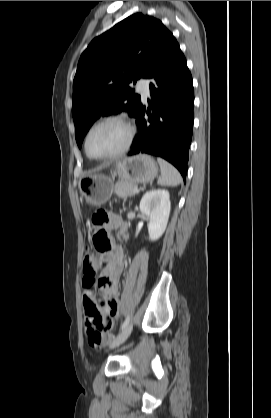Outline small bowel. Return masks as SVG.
<instances>
[{"label":"small bowel","mask_w":271,"mask_h":418,"mask_svg":"<svg viewBox=\"0 0 271 418\" xmlns=\"http://www.w3.org/2000/svg\"><path fill=\"white\" fill-rule=\"evenodd\" d=\"M106 223L113 228L125 229L123 221L114 215H106ZM102 263H105V267L101 272L100 277L97 278V285L100 286L106 296V303L102 306L96 304L95 299V271L99 269ZM123 269V253L121 251H107L104 252L100 258H96L92 255L87 256L83 261V279L82 286L83 292V306L85 310V316L87 312L93 308L97 309L104 321L106 322L108 329L111 330L114 326V319L119 313L118 302V278ZM86 326V322H85ZM104 333V338L106 337Z\"/></svg>","instance_id":"obj_1"}]
</instances>
